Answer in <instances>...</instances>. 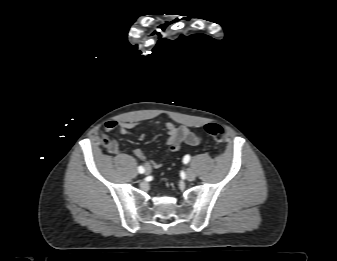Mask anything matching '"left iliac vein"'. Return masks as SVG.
<instances>
[{"label":"left iliac vein","instance_id":"left-iliac-vein-1","mask_svg":"<svg viewBox=\"0 0 337 261\" xmlns=\"http://www.w3.org/2000/svg\"><path fill=\"white\" fill-rule=\"evenodd\" d=\"M195 177H196V175H195V172L193 171V169H191V168L187 169L186 179L188 181H193V180H195Z\"/></svg>","mask_w":337,"mask_h":261}]
</instances>
